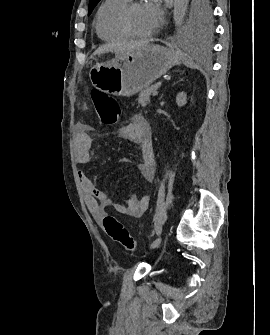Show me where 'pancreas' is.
<instances>
[{"label": "pancreas", "instance_id": "obj_1", "mask_svg": "<svg viewBox=\"0 0 270 335\" xmlns=\"http://www.w3.org/2000/svg\"><path fill=\"white\" fill-rule=\"evenodd\" d=\"M157 90V86H151V88H146V90H141L138 98V104H141L142 108L150 104V96L153 92Z\"/></svg>", "mask_w": 270, "mask_h": 335}]
</instances>
